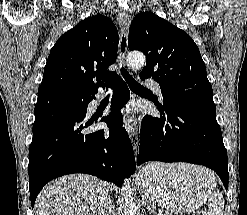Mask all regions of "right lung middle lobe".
<instances>
[{"instance_id": "obj_1", "label": "right lung middle lobe", "mask_w": 247, "mask_h": 215, "mask_svg": "<svg viewBox=\"0 0 247 215\" xmlns=\"http://www.w3.org/2000/svg\"><path fill=\"white\" fill-rule=\"evenodd\" d=\"M56 90L59 91V92H61V93H64V94H68L70 96H73V97H80V96H82V94H78V93L67 91V90H62V89H56Z\"/></svg>"}]
</instances>
